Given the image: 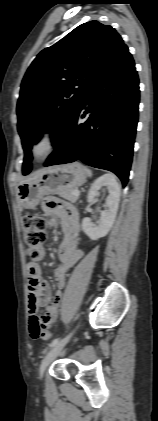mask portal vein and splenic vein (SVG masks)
Returning a JSON list of instances; mask_svg holds the SVG:
<instances>
[{"label":"portal vein and splenic vein","instance_id":"obj_1","mask_svg":"<svg viewBox=\"0 0 158 421\" xmlns=\"http://www.w3.org/2000/svg\"><path fill=\"white\" fill-rule=\"evenodd\" d=\"M73 194H74L75 196H79V195H80V192H79V190H75V191L73 192Z\"/></svg>","mask_w":158,"mask_h":421}]
</instances>
